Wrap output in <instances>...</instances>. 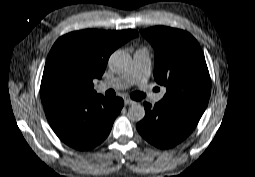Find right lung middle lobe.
I'll use <instances>...</instances> for the list:
<instances>
[{
  "label": "right lung middle lobe",
  "instance_id": "right-lung-middle-lobe-1",
  "mask_svg": "<svg viewBox=\"0 0 255 177\" xmlns=\"http://www.w3.org/2000/svg\"><path fill=\"white\" fill-rule=\"evenodd\" d=\"M78 98V89L74 80L65 78L48 87L45 95L46 102L64 101Z\"/></svg>",
  "mask_w": 255,
  "mask_h": 177
}]
</instances>
